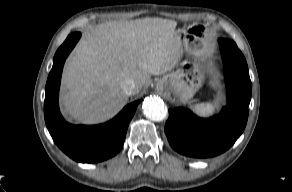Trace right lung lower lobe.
<instances>
[{
  "mask_svg": "<svg viewBox=\"0 0 292 192\" xmlns=\"http://www.w3.org/2000/svg\"><path fill=\"white\" fill-rule=\"evenodd\" d=\"M80 37L79 32L70 34L54 56L45 89L44 116L50 135L65 154L78 162L96 163L120 151L139 101L127 105L111 121L97 126H76L63 119L58 105L62 69Z\"/></svg>",
  "mask_w": 292,
  "mask_h": 192,
  "instance_id": "98d812e1",
  "label": "right lung lower lobe"
}]
</instances>
